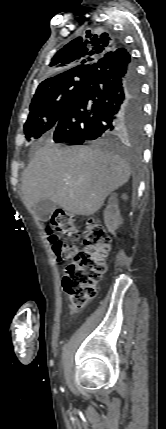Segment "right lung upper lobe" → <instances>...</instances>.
Here are the masks:
<instances>
[{
	"instance_id": "cb5924a9",
	"label": "right lung upper lobe",
	"mask_w": 166,
	"mask_h": 429,
	"mask_svg": "<svg viewBox=\"0 0 166 429\" xmlns=\"http://www.w3.org/2000/svg\"><path fill=\"white\" fill-rule=\"evenodd\" d=\"M117 41L107 33L86 32L61 48L51 59L47 70L49 78L41 82L35 94L49 89L55 83L76 75H88L91 65L109 51L118 48Z\"/></svg>"
}]
</instances>
